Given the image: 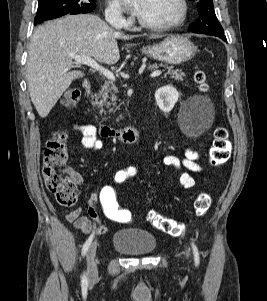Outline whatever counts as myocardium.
I'll return each mask as SVG.
<instances>
[{
	"label": "myocardium",
	"mask_w": 267,
	"mask_h": 301,
	"mask_svg": "<svg viewBox=\"0 0 267 301\" xmlns=\"http://www.w3.org/2000/svg\"><path fill=\"white\" fill-rule=\"evenodd\" d=\"M180 11L177 18L169 23L153 24L144 21L141 17H138V23L141 27L154 31H168L180 26L187 18L188 4L186 0H178Z\"/></svg>",
	"instance_id": "f54148a6"
}]
</instances>
